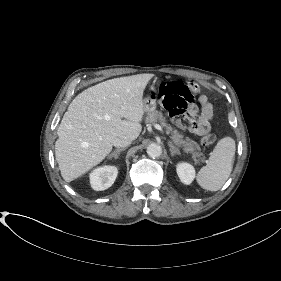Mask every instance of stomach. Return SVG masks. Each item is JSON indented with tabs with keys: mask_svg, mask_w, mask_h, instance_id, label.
<instances>
[{
	"mask_svg": "<svg viewBox=\"0 0 281 281\" xmlns=\"http://www.w3.org/2000/svg\"><path fill=\"white\" fill-rule=\"evenodd\" d=\"M143 108L147 113L156 109L155 93H150V95L143 100Z\"/></svg>",
	"mask_w": 281,
	"mask_h": 281,
	"instance_id": "1",
	"label": "stomach"
}]
</instances>
